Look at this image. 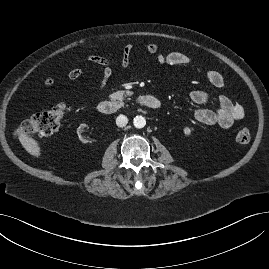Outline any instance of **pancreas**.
I'll list each match as a JSON object with an SVG mask.
<instances>
[{"label": "pancreas", "mask_w": 269, "mask_h": 269, "mask_svg": "<svg viewBox=\"0 0 269 269\" xmlns=\"http://www.w3.org/2000/svg\"><path fill=\"white\" fill-rule=\"evenodd\" d=\"M133 95V92L131 91H117V92H114L110 95V98L112 100H122L124 98V96H132ZM129 99V98H128Z\"/></svg>", "instance_id": "cf45deb5"}]
</instances>
